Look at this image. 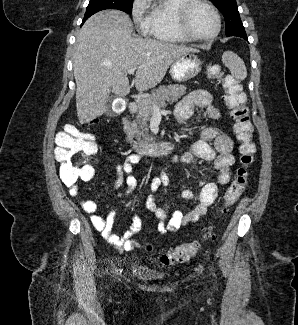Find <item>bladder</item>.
I'll use <instances>...</instances> for the list:
<instances>
[{
	"instance_id": "bladder-1",
	"label": "bladder",
	"mask_w": 298,
	"mask_h": 325,
	"mask_svg": "<svg viewBox=\"0 0 298 325\" xmlns=\"http://www.w3.org/2000/svg\"><path fill=\"white\" fill-rule=\"evenodd\" d=\"M130 271L133 277L143 281H155L165 278V273L162 271L153 269L139 262L133 263Z\"/></svg>"
}]
</instances>
